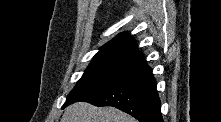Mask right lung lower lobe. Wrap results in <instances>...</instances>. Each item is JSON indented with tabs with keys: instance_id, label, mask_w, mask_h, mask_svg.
Here are the masks:
<instances>
[{
	"instance_id": "1",
	"label": "right lung lower lobe",
	"mask_w": 221,
	"mask_h": 122,
	"mask_svg": "<svg viewBox=\"0 0 221 122\" xmlns=\"http://www.w3.org/2000/svg\"><path fill=\"white\" fill-rule=\"evenodd\" d=\"M81 101L116 107L139 122H163L156 81L144 59L123 79Z\"/></svg>"
}]
</instances>
